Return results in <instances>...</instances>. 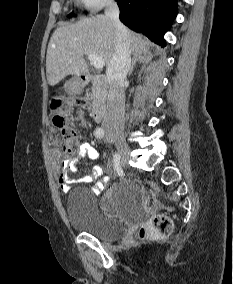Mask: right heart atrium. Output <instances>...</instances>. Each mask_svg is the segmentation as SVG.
I'll list each match as a JSON object with an SVG mask.
<instances>
[{
	"label": "right heart atrium",
	"instance_id": "1",
	"mask_svg": "<svg viewBox=\"0 0 233 284\" xmlns=\"http://www.w3.org/2000/svg\"><path fill=\"white\" fill-rule=\"evenodd\" d=\"M83 3L91 10L97 11L112 2L113 0H82Z\"/></svg>",
	"mask_w": 233,
	"mask_h": 284
}]
</instances>
